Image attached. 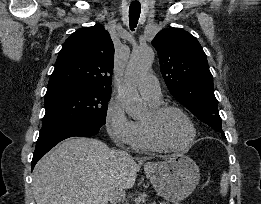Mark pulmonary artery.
Masks as SVG:
<instances>
[{
    "instance_id": "obj_1",
    "label": "pulmonary artery",
    "mask_w": 261,
    "mask_h": 204,
    "mask_svg": "<svg viewBox=\"0 0 261 204\" xmlns=\"http://www.w3.org/2000/svg\"><path fill=\"white\" fill-rule=\"evenodd\" d=\"M138 88L147 101L158 102L161 100V90L155 76L148 74L142 77L138 82Z\"/></svg>"
}]
</instances>
